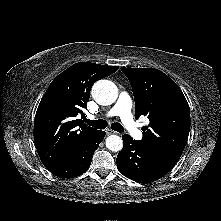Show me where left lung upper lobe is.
<instances>
[{"label":"left lung upper lobe","instance_id":"obj_1","mask_svg":"<svg viewBox=\"0 0 221 221\" xmlns=\"http://www.w3.org/2000/svg\"><path fill=\"white\" fill-rule=\"evenodd\" d=\"M129 79L135 100V118L147 116L142 146L177 163L187 143L190 109L179 86L154 68H121Z\"/></svg>","mask_w":221,"mask_h":221}]
</instances>
